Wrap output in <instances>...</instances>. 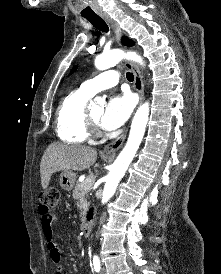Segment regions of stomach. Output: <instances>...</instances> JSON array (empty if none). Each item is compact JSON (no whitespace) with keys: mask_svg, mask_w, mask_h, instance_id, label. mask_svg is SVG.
Here are the masks:
<instances>
[{"mask_svg":"<svg viewBox=\"0 0 221 274\" xmlns=\"http://www.w3.org/2000/svg\"><path fill=\"white\" fill-rule=\"evenodd\" d=\"M76 181V173L72 171H64L60 175V186L66 191L73 189Z\"/></svg>","mask_w":221,"mask_h":274,"instance_id":"1","label":"stomach"}]
</instances>
